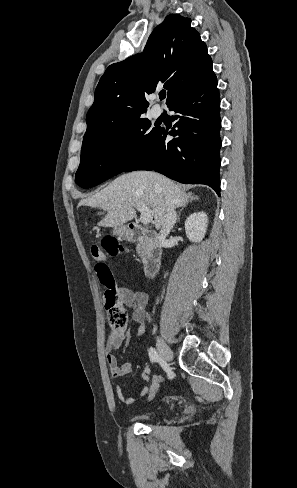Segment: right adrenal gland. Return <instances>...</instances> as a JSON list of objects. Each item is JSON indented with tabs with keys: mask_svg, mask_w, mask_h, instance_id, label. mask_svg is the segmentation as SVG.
Returning a JSON list of instances; mask_svg holds the SVG:
<instances>
[{
	"mask_svg": "<svg viewBox=\"0 0 297 488\" xmlns=\"http://www.w3.org/2000/svg\"><path fill=\"white\" fill-rule=\"evenodd\" d=\"M199 198L197 196H190L189 197V200L183 204L182 208L180 209L179 213H178V216H177V222L179 221L180 219V215H181V212L184 210V208L189 204L191 203L193 200H198Z\"/></svg>",
	"mask_w": 297,
	"mask_h": 488,
	"instance_id": "2a0ac1e0",
	"label": "right adrenal gland"
}]
</instances>
